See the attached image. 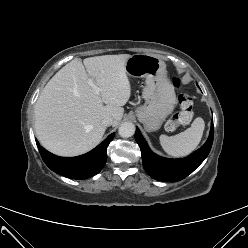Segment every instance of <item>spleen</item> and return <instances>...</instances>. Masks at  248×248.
<instances>
[{
    "mask_svg": "<svg viewBox=\"0 0 248 248\" xmlns=\"http://www.w3.org/2000/svg\"><path fill=\"white\" fill-rule=\"evenodd\" d=\"M205 128V122L201 117L196 118L191 127L174 135L160 136V144L163 150L173 157H184L193 152L200 143Z\"/></svg>",
    "mask_w": 248,
    "mask_h": 248,
    "instance_id": "spleen-1",
    "label": "spleen"
}]
</instances>
